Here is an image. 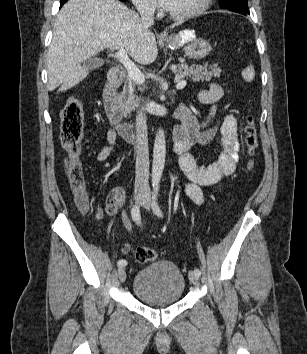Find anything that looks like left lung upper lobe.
<instances>
[{"mask_svg": "<svg viewBox=\"0 0 307 354\" xmlns=\"http://www.w3.org/2000/svg\"><path fill=\"white\" fill-rule=\"evenodd\" d=\"M219 3L222 8L238 13L250 14L247 0H219Z\"/></svg>", "mask_w": 307, "mask_h": 354, "instance_id": "left-lung-upper-lobe-1", "label": "left lung upper lobe"}]
</instances>
